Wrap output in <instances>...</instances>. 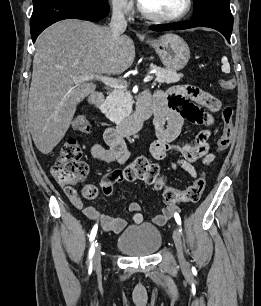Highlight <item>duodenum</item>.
<instances>
[{"mask_svg":"<svg viewBox=\"0 0 261 306\" xmlns=\"http://www.w3.org/2000/svg\"><path fill=\"white\" fill-rule=\"evenodd\" d=\"M105 97L102 93L92 95L90 102L95 108H100L104 103ZM153 113L151 104L141 99L135 113L120 122L114 131L120 136H128L137 132L144 121H146Z\"/></svg>","mask_w":261,"mask_h":306,"instance_id":"duodenum-1","label":"duodenum"}]
</instances>
